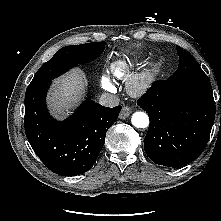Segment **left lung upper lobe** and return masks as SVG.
<instances>
[{
	"mask_svg": "<svg viewBox=\"0 0 221 221\" xmlns=\"http://www.w3.org/2000/svg\"><path fill=\"white\" fill-rule=\"evenodd\" d=\"M179 56V66L170 79H195L208 81L207 75L203 72L196 60L186 50L176 46Z\"/></svg>",
	"mask_w": 221,
	"mask_h": 221,
	"instance_id": "1",
	"label": "left lung upper lobe"
}]
</instances>
